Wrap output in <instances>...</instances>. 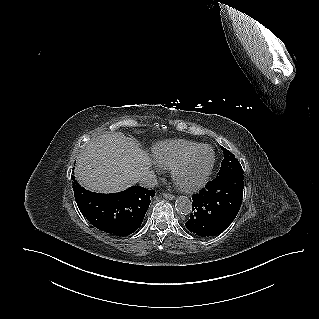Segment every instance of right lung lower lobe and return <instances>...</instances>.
<instances>
[{"mask_svg": "<svg viewBox=\"0 0 319 319\" xmlns=\"http://www.w3.org/2000/svg\"><path fill=\"white\" fill-rule=\"evenodd\" d=\"M73 179L76 203L81 213L97 229L117 236H127L141 225L155 195L154 190L133 186L113 194L94 193Z\"/></svg>", "mask_w": 319, "mask_h": 319, "instance_id": "1", "label": "right lung lower lobe"}]
</instances>
